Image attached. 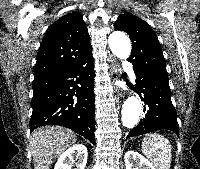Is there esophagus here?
Here are the masks:
<instances>
[{"label": "esophagus", "instance_id": "1", "mask_svg": "<svg viewBox=\"0 0 200 169\" xmlns=\"http://www.w3.org/2000/svg\"><path fill=\"white\" fill-rule=\"evenodd\" d=\"M110 76L112 79V83L114 86V92H115L116 96L122 97L123 96L122 90L115 85L116 80L119 78V65L115 58H113L110 62Z\"/></svg>", "mask_w": 200, "mask_h": 169}]
</instances>
